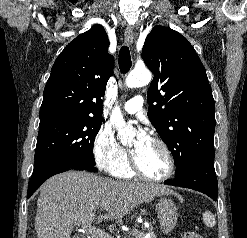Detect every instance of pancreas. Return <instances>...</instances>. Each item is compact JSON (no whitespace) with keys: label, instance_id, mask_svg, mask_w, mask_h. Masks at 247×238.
<instances>
[{"label":"pancreas","instance_id":"1","mask_svg":"<svg viewBox=\"0 0 247 238\" xmlns=\"http://www.w3.org/2000/svg\"><path fill=\"white\" fill-rule=\"evenodd\" d=\"M148 234H149V238H156V235L155 233L153 232V228L152 227H149L148 228ZM135 238H146V234L143 233V232H137L134 234Z\"/></svg>","mask_w":247,"mask_h":238}]
</instances>
